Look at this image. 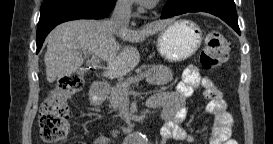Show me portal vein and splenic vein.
Here are the masks:
<instances>
[{"label":"portal vein and splenic vein","mask_w":273,"mask_h":144,"mask_svg":"<svg viewBox=\"0 0 273 144\" xmlns=\"http://www.w3.org/2000/svg\"><path fill=\"white\" fill-rule=\"evenodd\" d=\"M84 55L87 56L88 53L84 52ZM90 61H91L92 65H94V66H97L99 64V58L97 55H93ZM150 75H151V72H149V71H147L145 73H141L138 76L137 81H140V80L144 79L145 77H149Z\"/></svg>","instance_id":"obj_1"}]
</instances>
